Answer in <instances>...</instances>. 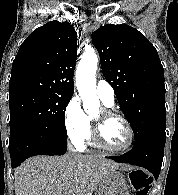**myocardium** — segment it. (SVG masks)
<instances>
[{
  "label": "myocardium",
  "instance_id": "f54148a6",
  "mask_svg": "<svg viewBox=\"0 0 178 195\" xmlns=\"http://www.w3.org/2000/svg\"><path fill=\"white\" fill-rule=\"evenodd\" d=\"M110 119L120 120L126 126L128 133H129V142L127 143L126 146H124L122 148H115V147L109 146L104 141V138L102 135L103 125L107 120H110ZM92 123H93L92 138L94 140V143L97 146H99L107 151H110V152H126L132 148L134 141H135L134 130H133L130 122L124 116L119 114L118 112L114 111L111 108H103L100 112V116L98 118L92 119Z\"/></svg>",
  "mask_w": 178,
  "mask_h": 195
}]
</instances>
